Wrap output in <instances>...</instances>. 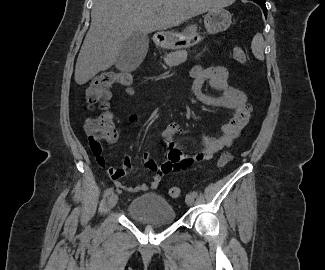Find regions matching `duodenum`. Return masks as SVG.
I'll list each match as a JSON object with an SVG mask.
<instances>
[{
    "mask_svg": "<svg viewBox=\"0 0 325 270\" xmlns=\"http://www.w3.org/2000/svg\"><path fill=\"white\" fill-rule=\"evenodd\" d=\"M156 39H157V41H162V40H164V34H163V33H157V34H156Z\"/></svg>",
    "mask_w": 325,
    "mask_h": 270,
    "instance_id": "obj_1",
    "label": "duodenum"
}]
</instances>
